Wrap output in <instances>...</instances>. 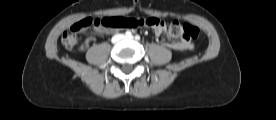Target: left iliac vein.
<instances>
[{"mask_svg":"<svg viewBox=\"0 0 276 120\" xmlns=\"http://www.w3.org/2000/svg\"><path fill=\"white\" fill-rule=\"evenodd\" d=\"M128 39L132 40V39H133V36L129 37Z\"/></svg>","mask_w":276,"mask_h":120,"instance_id":"obj_1","label":"left iliac vein"}]
</instances>
